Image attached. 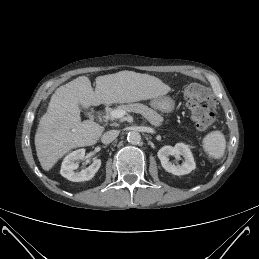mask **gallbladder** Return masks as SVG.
Returning <instances> with one entry per match:
<instances>
[{
    "label": "gallbladder",
    "mask_w": 259,
    "mask_h": 259,
    "mask_svg": "<svg viewBox=\"0 0 259 259\" xmlns=\"http://www.w3.org/2000/svg\"><path fill=\"white\" fill-rule=\"evenodd\" d=\"M84 114L87 116V117H91V116H93V111L92 110H86V109H84Z\"/></svg>",
    "instance_id": "bac80fb5"
}]
</instances>
